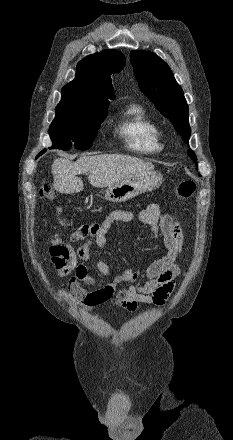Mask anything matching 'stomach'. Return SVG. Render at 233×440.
I'll return each mask as SVG.
<instances>
[{
    "label": "stomach",
    "mask_w": 233,
    "mask_h": 440,
    "mask_svg": "<svg viewBox=\"0 0 233 440\" xmlns=\"http://www.w3.org/2000/svg\"><path fill=\"white\" fill-rule=\"evenodd\" d=\"M163 176L154 170L131 175L107 188L105 199L114 202H124L146 191L158 188Z\"/></svg>",
    "instance_id": "stomach-1"
}]
</instances>
